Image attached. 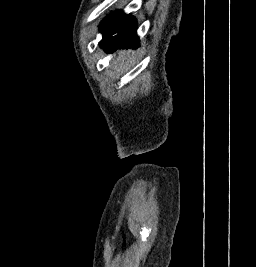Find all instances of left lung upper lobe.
<instances>
[{"mask_svg": "<svg viewBox=\"0 0 256 267\" xmlns=\"http://www.w3.org/2000/svg\"><path fill=\"white\" fill-rule=\"evenodd\" d=\"M136 25V19L122 11L105 18L100 28L103 34L101 47L107 51L119 46H137Z\"/></svg>", "mask_w": 256, "mask_h": 267, "instance_id": "5c2ea615", "label": "left lung upper lobe"}]
</instances>
